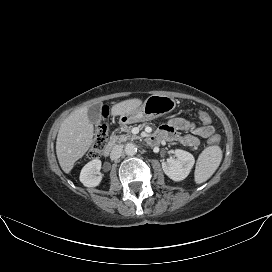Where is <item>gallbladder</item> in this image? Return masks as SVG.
<instances>
[{
	"instance_id": "bac80fb5",
	"label": "gallbladder",
	"mask_w": 272,
	"mask_h": 272,
	"mask_svg": "<svg viewBox=\"0 0 272 272\" xmlns=\"http://www.w3.org/2000/svg\"><path fill=\"white\" fill-rule=\"evenodd\" d=\"M87 116H88L89 121L93 125L98 126L102 120L101 106L100 105L91 106L88 109Z\"/></svg>"
}]
</instances>
